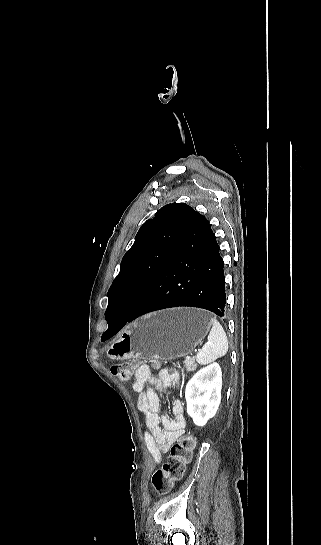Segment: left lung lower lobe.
Wrapping results in <instances>:
<instances>
[{
	"label": "left lung lower lobe",
	"mask_w": 321,
	"mask_h": 545,
	"mask_svg": "<svg viewBox=\"0 0 321 545\" xmlns=\"http://www.w3.org/2000/svg\"><path fill=\"white\" fill-rule=\"evenodd\" d=\"M223 259L208 220L193 211L171 254L145 295L130 313L114 311L107 332L117 333L146 313L179 306L207 309L224 316Z\"/></svg>",
	"instance_id": "1"
}]
</instances>
